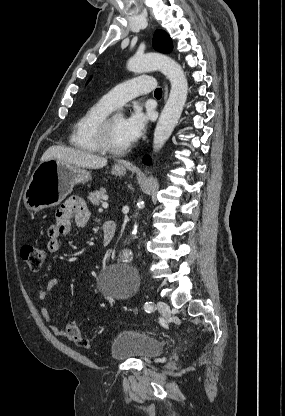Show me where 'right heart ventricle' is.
I'll return each mask as SVG.
<instances>
[{
  "label": "right heart ventricle",
  "instance_id": "e07e8e85",
  "mask_svg": "<svg viewBox=\"0 0 285 416\" xmlns=\"http://www.w3.org/2000/svg\"><path fill=\"white\" fill-rule=\"evenodd\" d=\"M111 107L102 99L90 104L75 122L70 134V144L85 154H97L101 150L95 137L98 123L106 116Z\"/></svg>",
  "mask_w": 285,
  "mask_h": 416
}]
</instances>
